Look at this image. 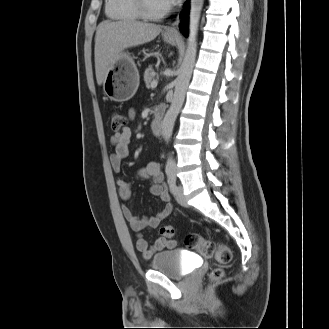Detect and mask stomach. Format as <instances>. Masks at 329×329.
<instances>
[{"label":"stomach","instance_id":"obj_1","mask_svg":"<svg viewBox=\"0 0 329 329\" xmlns=\"http://www.w3.org/2000/svg\"><path fill=\"white\" fill-rule=\"evenodd\" d=\"M164 39L171 45L176 43L175 37L164 36ZM139 79V72L133 59L129 54L121 53L105 76L104 93L112 101H128L135 95Z\"/></svg>","mask_w":329,"mask_h":329}]
</instances>
